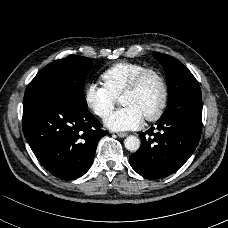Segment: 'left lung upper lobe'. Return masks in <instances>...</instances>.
Returning a JSON list of instances; mask_svg holds the SVG:
<instances>
[{
    "instance_id": "obj_1",
    "label": "left lung upper lobe",
    "mask_w": 228,
    "mask_h": 228,
    "mask_svg": "<svg viewBox=\"0 0 228 228\" xmlns=\"http://www.w3.org/2000/svg\"><path fill=\"white\" fill-rule=\"evenodd\" d=\"M153 56L163 66L168 84V106L163 115L177 108L202 109L200 86L192 73L172 56L158 52Z\"/></svg>"
}]
</instances>
